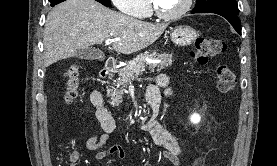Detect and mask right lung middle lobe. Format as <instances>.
I'll return each instance as SVG.
<instances>
[{"instance_id":"right-lung-middle-lobe-1","label":"right lung middle lobe","mask_w":277,"mask_h":166,"mask_svg":"<svg viewBox=\"0 0 277 166\" xmlns=\"http://www.w3.org/2000/svg\"><path fill=\"white\" fill-rule=\"evenodd\" d=\"M49 1L52 2V1H55V0H49ZM96 1L100 2L101 4H103L105 6L111 7L110 0H96Z\"/></svg>"}]
</instances>
